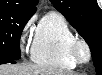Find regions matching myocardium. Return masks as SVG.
<instances>
[{
    "instance_id": "f54148a6",
    "label": "myocardium",
    "mask_w": 102,
    "mask_h": 75,
    "mask_svg": "<svg viewBox=\"0 0 102 75\" xmlns=\"http://www.w3.org/2000/svg\"><path fill=\"white\" fill-rule=\"evenodd\" d=\"M71 51L77 62H86L90 57L89 46L83 39L76 38L72 43Z\"/></svg>"
}]
</instances>
